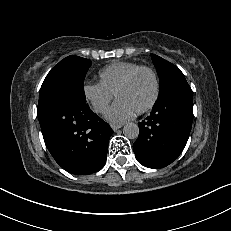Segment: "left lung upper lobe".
I'll use <instances>...</instances> for the list:
<instances>
[{"instance_id": "1", "label": "left lung upper lobe", "mask_w": 231, "mask_h": 231, "mask_svg": "<svg viewBox=\"0 0 231 231\" xmlns=\"http://www.w3.org/2000/svg\"><path fill=\"white\" fill-rule=\"evenodd\" d=\"M151 57L160 79L159 94L175 83L186 82L184 74L178 67L157 55L151 54Z\"/></svg>"}]
</instances>
